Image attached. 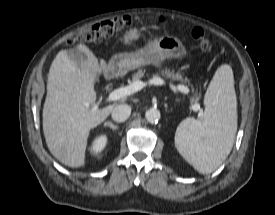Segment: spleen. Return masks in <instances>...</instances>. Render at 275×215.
Listing matches in <instances>:
<instances>
[{
    "mask_svg": "<svg viewBox=\"0 0 275 215\" xmlns=\"http://www.w3.org/2000/svg\"><path fill=\"white\" fill-rule=\"evenodd\" d=\"M200 119L183 120L175 133V146L199 173L217 169L233 147L237 131V100L232 68L221 65L204 97Z\"/></svg>",
    "mask_w": 275,
    "mask_h": 215,
    "instance_id": "3e777b00",
    "label": "spleen"
}]
</instances>
